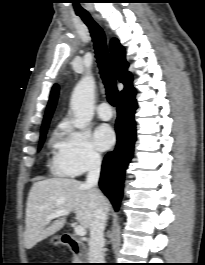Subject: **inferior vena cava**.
<instances>
[{
  "label": "inferior vena cava",
  "mask_w": 205,
  "mask_h": 265,
  "mask_svg": "<svg viewBox=\"0 0 205 265\" xmlns=\"http://www.w3.org/2000/svg\"><path fill=\"white\" fill-rule=\"evenodd\" d=\"M101 168V157L99 154L92 153L89 157L88 174L85 185L95 187L98 184ZM107 221V211L103 208H96L94 218L90 224L89 240V263H104V229Z\"/></svg>",
  "instance_id": "obj_1"
}]
</instances>
